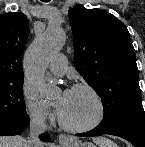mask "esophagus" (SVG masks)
<instances>
[{
    "instance_id": "34e87169",
    "label": "esophagus",
    "mask_w": 145,
    "mask_h": 147,
    "mask_svg": "<svg viewBox=\"0 0 145 147\" xmlns=\"http://www.w3.org/2000/svg\"><path fill=\"white\" fill-rule=\"evenodd\" d=\"M58 140L60 143L69 142L71 139L67 137L65 134H60L58 136Z\"/></svg>"
}]
</instances>
